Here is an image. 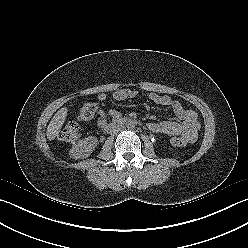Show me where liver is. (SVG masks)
Returning <instances> with one entry per match:
<instances>
[{"label":"liver","mask_w":248,"mask_h":248,"mask_svg":"<svg viewBox=\"0 0 248 248\" xmlns=\"http://www.w3.org/2000/svg\"><path fill=\"white\" fill-rule=\"evenodd\" d=\"M67 113L68 110L66 107H63L61 109H59L55 115L53 116V118L51 119L48 127H47V131H46V135L48 140H54L55 137L59 134L65 120L67 117Z\"/></svg>","instance_id":"liver-1"}]
</instances>
